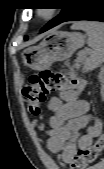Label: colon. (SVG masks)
Wrapping results in <instances>:
<instances>
[{"instance_id": "5ec220e1", "label": "colon", "mask_w": 104, "mask_h": 169, "mask_svg": "<svg viewBox=\"0 0 104 169\" xmlns=\"http://www.w3.org/2000/svg\"><path fill=\"white\" fill-rule=\"evenodd\" d=\"M84 86V81L78 78L69 77L63 72L44 69L30 75L29 85L24 87L23 94L29 112L37 116L41 113L49 93L63 90L82 91ZM102 148L103 140L100 138L93 145L79 150L70 163V169H86L97 159Z\"/></svg>"}]
</instances>
